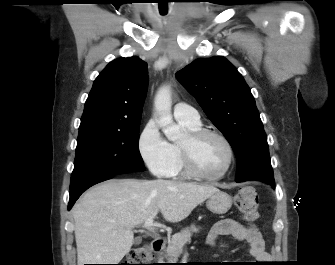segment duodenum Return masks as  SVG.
<instances>
[{"label":"duodenum","mask_w":335,"mask_h":265,"mask_svg":"<svg viewBox=\"0 0 335 265\" xmlns=\"http://www.w3.org/2000/svg\"><path fill=\"white\" fill-rule=\"evenodd\" d=\"M165 247V238L164 237H156L152 242H151V249L155 254L160 253L163 248Z\"/></svg>","instance_id":"duodenum-1"}]
</instances>
